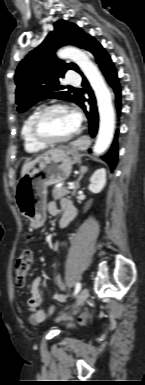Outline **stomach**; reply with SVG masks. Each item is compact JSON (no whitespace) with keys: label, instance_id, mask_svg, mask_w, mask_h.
Returning a JSON list of instances; mask_svg holds the SVG:
<instances>
[{"label":"stomach","instance_id":"stomach-1","mask_svg":"<svg viewBox=\"0 0 145 385\" xmlns=\"http://www.w3.org/2000/svg\"><path fill=\"white\" fill-rule=\"evenodd\" d=\"M72 165L65 148H54L39 157L18 180L15 203L19 212L29 219L32 228L43 226L46 220L47 187L65 181Z\"/></svg>","mask_w":145,"mask_h":385}]
</instances>
